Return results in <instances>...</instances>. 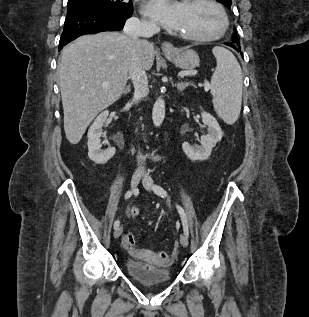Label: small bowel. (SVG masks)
<instances>
[{
	"instance_id": "c3829d8e",
	"label": "small bowel",
	"mask_w": 309,
	"mask_h": 317,
	"mask_svg": "<svg viewBox=\"0 0 309 317\" xmlns=\"http://www.w3.org/2000/svg\"><path fill=\"white\" fill-rule=\"evenodd\" d=\"M132 211V210H131ZM131 211H130V213H131ZM129 249V251H130V253H132V254H135L136 253V250H135V248L133 247V248H128Z\"/></svg>"
}]
</instances>
